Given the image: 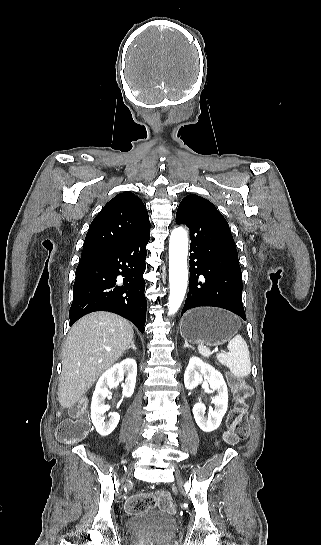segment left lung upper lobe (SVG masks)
Segmentation results:
<instances>
[{"label":"left lung upper lobe","mask_w":321,"mask_h":545,"mask_svg":"<svg viewBox=\"0 0 321 545\" xmlns=\"http://www.w3.org/2000/svg\"><path fill=\"white\" fill-rule=\"evenodd\" d=\"M197 205H213V204L200 196L188 195L181 201L178 209L185 208L188 206H197Z\"/></svg>","instance_id":"obj_1"}]
</instances>
